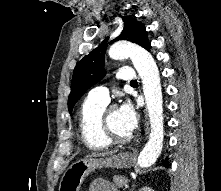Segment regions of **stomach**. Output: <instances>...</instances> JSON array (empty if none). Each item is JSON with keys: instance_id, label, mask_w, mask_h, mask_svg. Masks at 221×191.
I'll return each instance as SVG.
<instances>
[{"instance_id": "obj_1", "label": "stomach", "mask_w": 221, "mask_h": 191, "mask_svg": "<svg viewBox=\"0 0 221 191\" xmlns=\"http://www.w3.org/2000/svg\"><path fill=\"white\" fill-rule=\"evenodd\" d=\"M134 155L131 152H122L106 158H86L73 163L63 174L59 191H79L85 178L96 169L103 167L124 169L134 164Z\"/></svg>"}]
</instances>
